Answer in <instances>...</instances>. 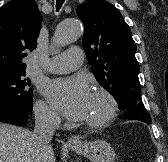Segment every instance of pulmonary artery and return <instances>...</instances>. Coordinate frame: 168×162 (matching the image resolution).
<instances>
[{
	"instance_id": "1",
	"label": "pulmonary artery",
	"mask_w": 168,
	"mask_h": 162,
	"mask_svg": "<svg viewBox=\"0 0 168 162\" xmlns=\"http://www.w3.org/2000/svg\"><path fill=\"white\" fill-rule=\"evenodd\" d=\"M83 51L79 47H72L53 57L46 68L53 73H68L79 68L83 63Z\"/></svg>"
}]
</instances>
